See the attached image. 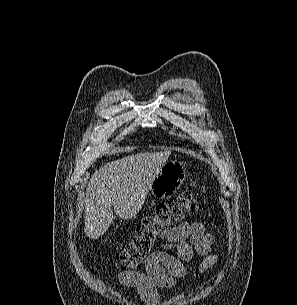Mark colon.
<instances>
[{
  "label": "colon",
  "mask_w": 297,
  "mask_h": 305,
  "mask_svg": "<svg viewBox=\"0 0 297 305\" xmlns=\"http://www.w3.org/2000/svg\"><path fill=\"white\" fill-rule=\"evenodd\" d=\"M204 187L183 193L157 205L155 212L138 226L127 244L116 252L117 267L127 271L138 267L152 252L160 234L200 209Z\"/></svg>",
  "instance_id": "colon-1"
}]
</instances>
